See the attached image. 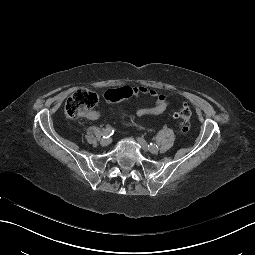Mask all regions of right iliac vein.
<instances>
[{"label":"right iliac vein","instance_id":"63e3f726","mask_svg":"<svg viewBox=\"0 0 255 255\" xmlns=\"http://www.w3.org/2000/svg\"><path fill=\"white\" fill-rule=\"evenodd\" d=\"M111 142H112V139H110V138H104V139H102V140L100 141V144H101L102 146H107V145H109Z\"/></svg>","mask_w":255,"mask_h":255}]
</instances>
